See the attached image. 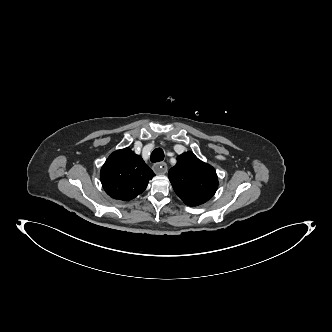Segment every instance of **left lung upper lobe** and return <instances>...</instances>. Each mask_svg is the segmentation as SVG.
I'll use <instances>...</instances> for the list:
<instances>
[{
    "mask_svg": "<svg viewBox=\"0 0 332 332\" xmlns=\"http://www.w3.org/2000/svg\"><path fill=\"white\" fill-rule=\"evenodd\" d=\"M175 193L189 206L208 201L216 192L218 177L214 168L199 160L193 153L177 157V164L168 172Z\"/></svg>",
    "mask_w": 332,
    "mask_h": 332,
    "instance_id": "5c2ea615",
    "label": "left lung upper lobe"
}]
</instances>
